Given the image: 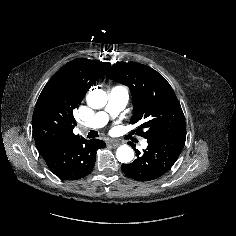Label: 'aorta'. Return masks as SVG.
<instances>
[{
    "label": "aorta",
    "instance_id": "aorta-1",
    "mask_svg": "<svg viewBox=\"0 0 236 236\" xmlns=\"http://www.w3.org/2000/svg\"><path fill=\"white\" fill-rule=\"evenodd\" d=\"M86 100L89 107L100 109L107 103V94L102 89H94L88 93ZM116 157L121 163H129L134 158V151L128 145H121L117 148Z\"/></svg>",
    "mask_w": 236,
    "mask_h": 236
}]
</instances>
